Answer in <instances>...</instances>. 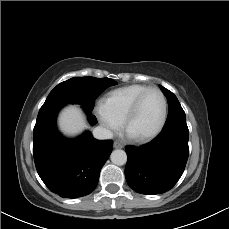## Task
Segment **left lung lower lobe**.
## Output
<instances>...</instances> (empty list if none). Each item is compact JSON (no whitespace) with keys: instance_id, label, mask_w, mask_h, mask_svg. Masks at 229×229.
I'll return each instance as SVG.
<instances>
[{"instance_id":"1","label":"left lung lower lobe","mask_w":229,"mask_h":229,"mask_svg":"<svg viewBox=\"0 0 229 229\" xmlns=\"http://www.w3.org/2000/svg\"><path fill=\"white\" fill-rule=\"evenodd\" d=\"M189 130L186 122L166 127L150 143L127 146L125 177L136 192L155 195L167 192L184 172L188 154Z\"/></svg>"}]
</instances>
